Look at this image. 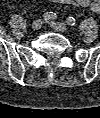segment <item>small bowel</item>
Returning a JSON list of instances; mask_svg holds the SVG:
<instances>
[{"instance_id":"1","label":"small bowel","mask_w":100,"mask_h":118,"mask_svg":"<svg viewBox=\"0 0 100 118\" xmlns=\"http://www.w3.org/2000/svg\"><path fill=\"white\" fill-rule=\"evenodd\" d=\"M54 3L71 4L76 7L89 8L95 13H100V0H50Z\"/></svg>"}]
</instances>
